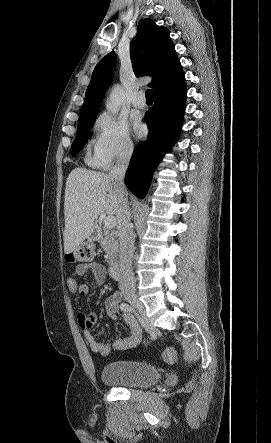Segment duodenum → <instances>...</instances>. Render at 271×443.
I'll return each mask as SVG.
<instances>
[{"label":"duodenum","instance_id":"obj_1","mask_svg":"<svg viewBox=\"0 0 271 443\" xmlns=\"http://www.w3.org/2000/svg\"><path fill=\"white\" fill-rule=\"evenodd\" d=\"M128 257V249H126L122 255V260L125 261ZM109 270L112 276L118 278L121 273V262L117 260H113L110 262Z\"/></svg>","mask_w":271,"mask_h":443}]
</instances>
